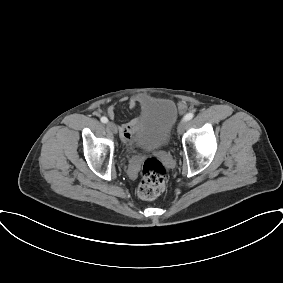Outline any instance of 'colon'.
Segmentation results:
<instances>
[{
  "mask_svg": "<svg viewBox=\"0 0 283 283\" xmlns=\"http://www.w3.org/2000/svg\"><path fill=\"white\" fill-rule=\"evenodd\" d=\"M167 170L155 158H148L141 170V180L138 186V196L143 200L157 198L165 189Z\"/></svg>",
  "mask_w": 283,
  "mask_h": 283,
  "instance_id": "colon-1",
  "label": "colon"
}]
</instances>
